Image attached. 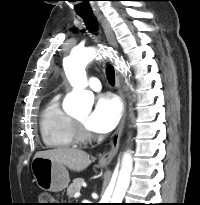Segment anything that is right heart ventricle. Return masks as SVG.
Listing matches in <instances>:
<instances>
[{"mask_svg":"<svg viewBox=\"0 0 200 205\" xmlns=\"http://www.w3.org/2000/svg\"><path fill=\"white\" fill-rule=\"evenodd\" d=\"M40 133L43 143L49 148H69L75 137L72 118L60 106V96H53L40 114Z\"/></svg>","mask_w":200,"mask_h":205,"instance_id":"right-heart-ventricle-1","label":"right heart ventricle"}]
</instances>
